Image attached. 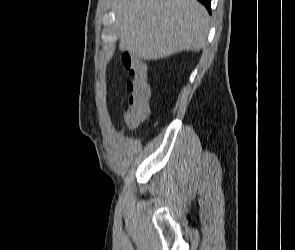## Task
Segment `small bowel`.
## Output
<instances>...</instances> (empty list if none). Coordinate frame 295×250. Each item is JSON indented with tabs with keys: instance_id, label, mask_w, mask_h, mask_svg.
<instances>
[{
	"instance_id": "small-bowel-1",
	"label": "small bowel",
	"mask_w": 295,
	"mask_h": 250,
	"mask_svg": "<svg viewBox=\"0 0 295 250\" xmlns=\"http://www.w3.org/2000/svg\"><path fill=\"white\" fill-rule=\"evenodd\" d=\"M122 64L124 68L132 77H144L148 78V66L145 62L136 58L132 54H124L122 56Z\"/></svg>"
}]
</instances>
